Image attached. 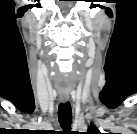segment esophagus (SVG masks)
Instances as JSON below:
<instances>
[{"instance_id":"obj_1","label":"esophagus","mask_w":137,"mask_h":134,"mask_svg":"<svg viewBox=\"0 0 137 134\" xmlns=\"http://www.w3.org/2000/svg\"><path fill=\"white\" fill-rule=\"evenodd\" d=\"M60 100H61V102L65 103V102H67L69 100V97L63 95V96H60Z\"/></svg>"}]
</instances>
